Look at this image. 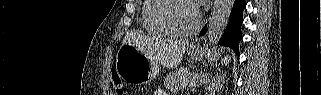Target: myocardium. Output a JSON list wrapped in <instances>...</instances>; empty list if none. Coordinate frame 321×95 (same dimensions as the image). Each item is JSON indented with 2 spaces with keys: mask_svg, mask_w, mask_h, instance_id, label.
Listing matches in <instances>:
<instances>
[{
  "mask_svg": "<svg viewBox=\"0 0 321 95\" xmlns=\"http://www.w3.org/2000/svg\"><path fill=\"white\" fill-rule=\"evenodd\" d=\"M176 2H185L188 3L189 5H191L194 9H195V14H196V22L194 24V26L188 30H179L176 27H174L170 21L167 18V11L170 8V5L172 3H176ZM155 17H156V21L164 28L168 31V33L174 35V36H179V37H187L190 36L192 34H194L195 32L198 31V29L201 26V16L195 6V4L190 1V0H161L160 5L157 7L156 12H155Z\"/></svg>",
  "mask_w": 321,
  "mask_h": 95,
  "instance_id": "1",
  "label": "myocardium"
}]
</instances>
